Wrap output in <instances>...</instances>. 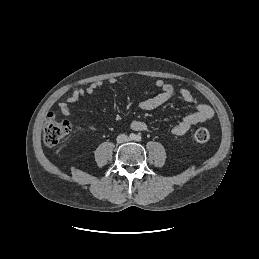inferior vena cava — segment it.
<instances>
[{"label":"inferior vena cava","mask_w":259,"mask_h":259,"mask_svg":"<svg viewBox=\"0 0 259 259\" xmlns=\"http://www.w3.org/2000/svg\"><path fill=\"white\" fill-rule=\"evenodd\" d=\"M116 140H117L118 143H124V142L129 141V138L125 134H120V135L117 136Z\"/></svg>","instance_id":"1"}]
</instances>
